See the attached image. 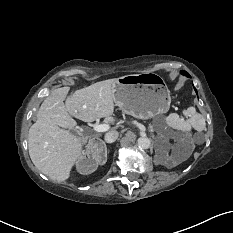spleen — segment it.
<instances>
[{
    "instance_id": "spleen-1",
    "label": "spleen",
    "mask_w": 233,
    "mask_h": 233,
    "mask_svg": "<svg viewBox=\"0 0 233 233\" xmlns=\"http://www.w3.org/2000/svg\"><path fill=\"white\" fill-rule=\"evenodd\" d=\"M185 116H189L188 120L181 118L177 113H171L165 118L166 124L178 131L190 132L191 128L202 131L205 128V119L196 112L194 107H189L183 111Z\"/></svg>"
}]
</instances>
